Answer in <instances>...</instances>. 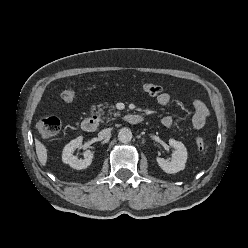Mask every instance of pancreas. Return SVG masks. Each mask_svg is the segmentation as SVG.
<instances>
[{
	"instance_id": "obj_1",
	"label": "pancreas",
	"mask_w": 248,
	"mask_h": 248,
	"mask_svg": "<svg viewBox=\"0 0 248 248\" xmlns=\"http://www.w3.org/2000/svg\"><path fill=\"white\" fill-rule=\"evenodd\" d=\"M114 116H119L120 113L119 112H116V113H113Z\"/></svg>"
}]
</instances>
